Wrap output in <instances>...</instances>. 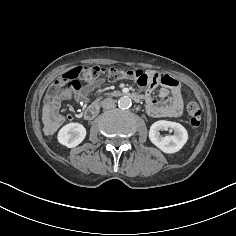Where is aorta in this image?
Masks as SVG:
<instances>
[{"mask_svg": "<svg viewBox=\"0 0 236 236\" xmlns=\"http://www.w3.org/2000/svg\"><path fill=\"white\" fill-rule=\"evenodd\" d=\"M131 105L132 101L128 96L120 97V99L118 100V106L121 109H128L131 107Z\"/></svg>", "mask_w": 236, "mask_h": 236, "instance_id": "762f6f07", "label": "aorta"}]
</instances>
